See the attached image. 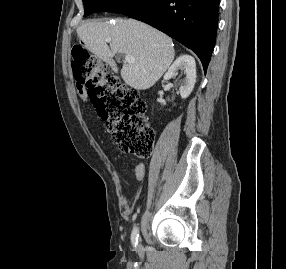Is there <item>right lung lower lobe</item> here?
Listing matches in <instances>:
<instances>
[{"label":"right lung lower lobe","instance_id":"obj_1","mask_svg":"<svg viewBox=\"0 0 286 269\" xmlns=\"http://www.w3.org/2000/svg\"><path fill=\"white\" fill-rule=\"evenodd\" d=\"M219 3L220 0H154L128 17L157 28L194 51L206 72L215 45Z\"/></svg>","mask_w":286,"mask_h":269}]
</instances>
